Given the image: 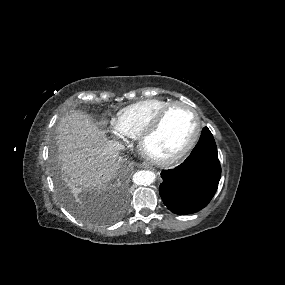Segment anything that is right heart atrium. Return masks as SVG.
I'll return each instance as SVG.
<instances>
[{
	"mask_svg": "<svg viewBox=\"0 0 285 285\" xmlns=\"http://www.w3.org/2000/svg\"><path fill=\"white\" fill-rule=\"evenodd\" d=\"M109 131L121 143L129 142L131 139L134 138L132 135H130L129 133L125 132L121 128V126L119 125V123L117 122L116 119H112L110 121Z\"/></svg>",
	"mask_w": 285,
	"mask_h": 285,
	"instance_id": "1",
	"label": "right heart atrium"
}]
</instances>
